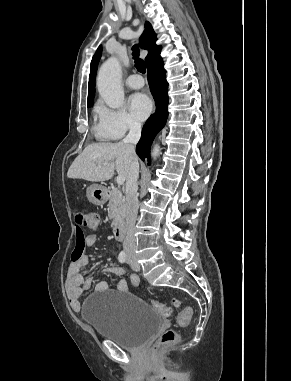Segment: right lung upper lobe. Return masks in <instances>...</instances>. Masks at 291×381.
<instances>
[{
  "label": "right lung upper lobe",
  "instance_id": "right-lung-upper-lobe-1",
  "mask_svg": "<svg viewBox=\"0 0 291 381\" xmlns=\"http://www.w3.org/2000/svg\"><path fill=\"white\" fill-rule=\"evenodd\" d=\"M145 31L140 37V45L142 48L149 51L148 55L145 58L147 67L157 60L161 59L160 51L161 46L155 44L156 34L152 29V26L149 22L145 24ZM102 48L101 46L97 49L91 61V70L89 75V89H88V104L93 103L95 95V76L97 71L98 62L101 57Z\"/></svg>",
  "mask_w": 291,
  "mask_h": 381
}]
</instances>
